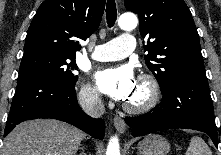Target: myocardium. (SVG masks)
Returning a JSON list of instances; mask_svg holds the SVG:
<instances>
[{"instance_id":"myocardium-1","label":"myocardium","mask_w":221,"mask_h":155,"mask_svg":"<svg viewBox=\"0 0 221 155\" xmlns=\"http://www.w3.org/2000/svg\"><path fill=\"white\" fill-rule=\"evenodd\" d=\"M139 83L146 89V96L143 101L137 104L125 103L123 108L133 114H140L151 110L158 102L160 96V88L157 80L150 74H142L139 76Z\"/></svg>"}]
</instances>
